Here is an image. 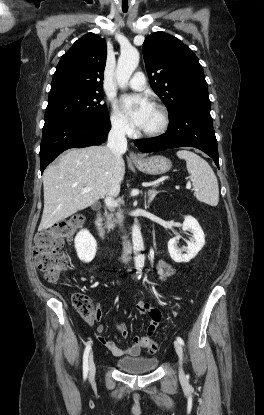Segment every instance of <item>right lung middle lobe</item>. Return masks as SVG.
<instances>
[{"label":"right lung middle lobe","instance_id":"obj_1","mask_svg":"<svg viewBox=\"0 0 264 415\" xmlns=\"http://www.w3.org/2000/svg\"><path fill=\"white\" fill-rule=\"evenodd\" d=\"M102 92L67 91L49 96L45 123L70 118L108 116Z\"/></svg>","mask_w":264,"mask_h":415}]
</instances>
